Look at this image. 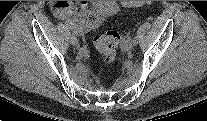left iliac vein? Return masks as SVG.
<instances>
[{"label":"left iliac vein","instance_id":"obj_1","mask_svg":"<svg viewBox=\"0 0 207 121\" xmlns=\"http://www.w3.org/2000/svg\"><path fill=\"white\" fill-rule=\"evenodd\" d=\"M135 44L133 43V42H126L125 44H124V49H126V50H130V49H132L133 48V46H134Z\"/></svg>","mask_w":207,"mask_h":121}]
</instances>
